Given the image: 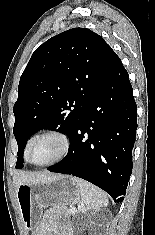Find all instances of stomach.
Returning a JSON list of instances; mask_svg holds the SVG:
<instances>
[{
    "mask_svg": "<svg viewBox=\"0 0 155 235\" xmlns=\"http://www.w3.org/2000/svg\"><path fill=\"white\" fill-rule=\"evenodd\" d=\"M16 196L24 227L28 231L39 225L44 207H66L81 201L80 190L71 176H58L35 184H22L18 187Z\"/></svg>",
    "mask_w": 155,
    "mask_h": 235,
    "instance_id": "0dacf381",
    "label": "stomach"
}]
</instances>
